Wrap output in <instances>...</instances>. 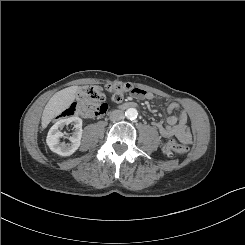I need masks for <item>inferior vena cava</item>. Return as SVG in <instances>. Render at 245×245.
<instances>
[{
	"mask_svg": "<svg viewBox=\"0 0 245 245\" xmlns=\"http://www.w3.org/2000/svg\"><path fill=\"white\" fill-rule=\"evenodd\" d=\"M124 117L125 116L122 110H114L110 113V116H109L111 121H119L123 119Z\"/></svg>",
	"mask_w": 245,
	"mask_h": 245,
	"instance_id": "inferior-vena-cava-1",
	"label": "inferior vena cava"
}]
</instances>
